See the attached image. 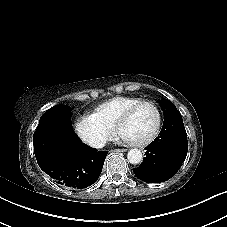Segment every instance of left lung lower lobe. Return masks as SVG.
I'll list each match as a JSON object with an SVG mask.
<instances>
[{
  "label": "left lung lower lobe",
  "instance_id": "obj_1",
  "mask_svg": "<svg viewBox=\"0 0 227 227\" xmlns=\"http://www.w3.org/2000/svg\"><path fill=\"white\" fill-rule=\"evenodd\" d=\"M161 136L146 147V157L134 174L144 182L156 183L170 179L181 167L188 151L187 133L182 119L163 124Z\"/></svg>",
  "mask_w": 227,
  "mask_h": 227
}]
</instances>
